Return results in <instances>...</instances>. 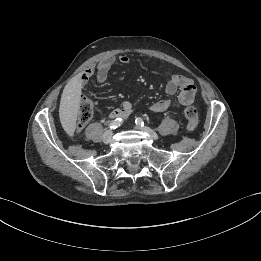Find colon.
I'll list each match as a JSON object with an SVG mask.
<instances>
[{
	"instance_id": "obj_1",
	"label": "colon",
	"mask_w": 261,
	"mask_h": 261,
	"mask_svg": "<svg viewBox=\"0 0 261 261\" xmlns=\"http://www.w3.org/2000/svg\"><path fill=\"white\" fill-rule=\"evenodd\" d=\"M94 106L89 98H84L81 102L77 112V125L83 127L93 116ZM184 117L187 120V129L194 131L198 124V112L195 107L187 106L183 111Z\"/></svg>"
}]
</instances>
